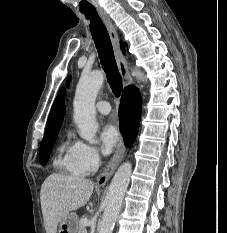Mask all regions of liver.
I'll list each match as a JSON object with an SVG mask.
<instances>
[{
	"instance_id": "1",
	"label": "liver",
	"mask_w": 227,
	"mask_h": 233,
	"mask_svg": "<svg viewBox=\"0 0 227 233\" xmlns=\"http://www.w3.org/2000/svg\"><path fill=\"white\" fill-rule=\"evenodd\" d=\"M94 189L92 180L66 176L49 175L41 186L40 201L46 233H57L58 224L70 212L83 207Z\"/></svg>"
}]
</instances>
